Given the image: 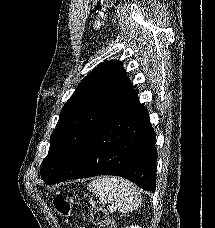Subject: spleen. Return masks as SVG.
<instances>
[{
	"mask_svg": "<svg viewBox=\"0 0 215 228\" xmlns=\"http://www.w3.org/2000/svg\"><path fill=\"white\" fill-rule=\"evenodd\" d=\"M88 190L96 194L103 204H113L121 214L137 210L142 200L140 192L132 182L116 176H102L90 182Z\"/></svg>",
	"mask_w": 215,
	"mask_h": 228,
	"instance_id": "3e777b00",
	"label": "spleen"
}]
</instances>
